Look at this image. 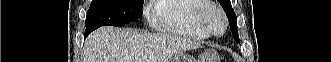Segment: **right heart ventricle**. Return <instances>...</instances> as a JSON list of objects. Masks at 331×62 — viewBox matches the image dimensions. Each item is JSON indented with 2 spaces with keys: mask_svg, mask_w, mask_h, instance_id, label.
<instances>
[{
  "mask_svg": "<svg viewBox=\"0 0 331 62\" xmlns=\"http://www.w3.org/2000/svg\"><path fill=\"white\" fill-rule=\"evenodd\" d=\"M205 3V0H160L153 10V17L166 32L194 40H205L210 35L196 20L199 9Z\"/></svg>",
  "mask_w": 331,
  "mask_h": 62,
  "instance_id": "right-heart-ventricle-1",
  "label": "right heart ventricle"
}]
</instances>
